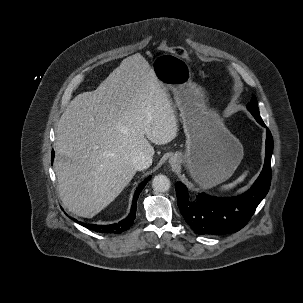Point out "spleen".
I'll return each mask as SVG.
<instances>
[{
	"label": "spleen",
	"mask_w": 303,
	"mask_h": 303,
	"mask_svg": "<svg viewBox=\"0 0 303 303\" xmlns=\"http://www.w3.org/2000/svg\"><path fill=\"white\" fill-rule=\"evenodd\" d=\"M248 174V171H245L240 177H238L235 181H233L232 183L223 185L220 187V191L221 192H229L230 190H232L234 187L237 186V184L241 183L244 181V179L246 178Z\"/></svg>",
	"instance_id": "1"
}]
</instances>
